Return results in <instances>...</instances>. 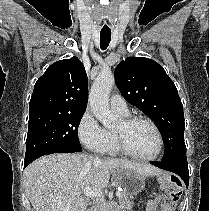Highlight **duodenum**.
<instances>
[{
  "mask_svg": "<svg viewBox=\"0 0 209 211\" xmlns=\"http://www.w3.org/2000/svg\"><path fill=\"white\" fill-rule=\"evenodd\" d=\"M86 211H92V209H88V210H86Z\"/></svg>",
  "mask_w": 209,
  "mask_h": 211,
  "instance_id": "1",
  "label": "duodenum"
}]
</instances>
